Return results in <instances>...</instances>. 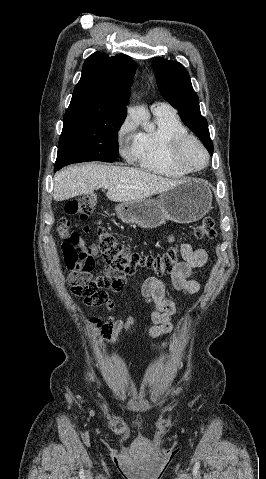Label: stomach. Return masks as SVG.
Wrapping results in <instances>:
<instances>
[{"mask_svg": "<svg viewBox=\"0 0 266 479\" xmlns=\"http://www.w3.org/2000/svg\"><path fill=\"white\" fill-rule=\"evenodd\" d=\"M212 204L209 187L197 179L184 180L162 192L158 199L126 201L115 207L124 223L156 228L166 221L192 223L204 217Z\"/></svg>", "mask_w": 266, "mask_h": 479, "instance_id": "1", "label": "stomach"}]
</instances>
